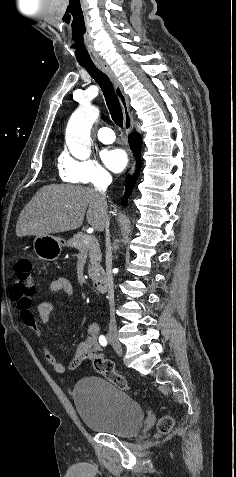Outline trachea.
<instances>
[{"instance_id": "3493384b", "label": "trachea", "mask_w": 236, "mask_h": 477, "mask_svg": "<svg viewBox=\"0 0 236 477\" xmlns=\"http://www.w3.org/2000/svg\"><path fill=\"white\" fill-rule=\"evenodd\" d=\"M89 75L99 84L105 97L106 104L110 111L114 123L123 126V113L119 101L116 97L114 87L109 77L98 69L93 63H80Z\"/></svg>"}]
</instances>
